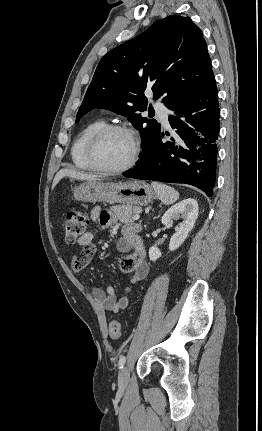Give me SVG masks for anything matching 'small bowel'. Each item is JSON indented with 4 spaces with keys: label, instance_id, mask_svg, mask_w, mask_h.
Returning a JSON list of instances; mask_svg holds the SVG:
<instances>
[{
    "label": "small bowel",
    "instance_id": "obj_1",
    "mask_svg": "<svg viewBox=\"0 0 262 431\" xmlns=\"http://www.w3.org/2000/svg\"><path fill=\"white\" fill-rule=\"evenodd\" d=\"M93 222H96L101 227L113 226L115 218L111 212L101 210L99 207L92 209L90 213ZM113 232H118V228L113 226ZM140 232V225L135 222L127 223L120 229V239L118 248L128 254L121 260V268L124 271L130 272V282L133 284L141 283L148 273V263L145 257V247ZM93 235L91 232L84 233L78 240L77 245L83 247V251L79 256L71 258V269L74 276L80 284L84 282L80 278V273L90 263L95 254L96 247L92 244ZM92 295L95 300L105 311L118 313L120 310L127 308L130 305L128 296L117 297L116 289L113 285H109L105 291L99 288L92 289Z\"/></svg>",
    "mask_w": 262,
    "mask_h": 431
}]
</instances>
